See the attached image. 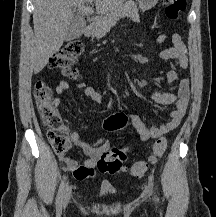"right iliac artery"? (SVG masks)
Instances as JSON below:
<instances>
[{
	"label": "right iliac artery",
	"mask_w": 216,
	"mask_h": 217,
	"mask_svg": "<svg viewBox=\"0 0 216 217\" xmlns=\"http://www.w3.org/2000/svg\"><path fill=\"white\" fill-rule=\"evenodd\" d=\"M66 179H67V177L63 178V180L61 181L59 190H58V194H57V198H56L57 210H61V208H62V200H63V193H64V189H65V185H66Z\"/></svg>",
	"instance_id": "82829eb1"
}]
</instances>
